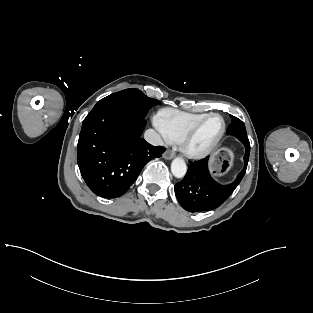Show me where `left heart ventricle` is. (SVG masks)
I'll return each mask as SVG.
<instances>
[{
	"label": "left heart ventricle",
	"instance_id": "1",
	"mask_svg": "<svg viewBox=\"0 0 313 313\" xmlns=\"http://www.w3.org/2000/svg\"><path fill=\"white\" fill-rule=\"evenodd\" d=\"M222 129V121L218 117L208 119L196 132L192 139L194 149H205L217 138Z\"/></svg>",
	"mask_w": 313,
	"mask_h": 313
}]
</instances>
